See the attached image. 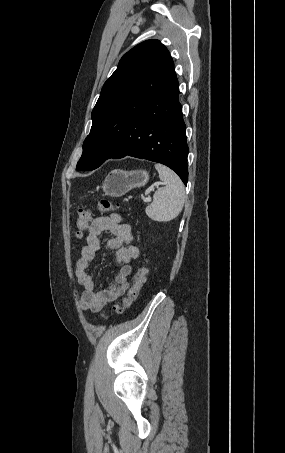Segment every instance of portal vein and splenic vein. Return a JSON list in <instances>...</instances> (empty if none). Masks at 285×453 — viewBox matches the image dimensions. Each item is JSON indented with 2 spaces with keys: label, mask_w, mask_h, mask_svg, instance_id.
Segmentation results:
<instances>
[{
  "label": "portal vein and splenic vein",
  "mask_w": 285,
  "mask_h": 453,
  "mask_svg": "<svg viewBox=\"0 0 285 453\" xmlns=\"http://www.w3.org/2000/svg\"><path fill=\"white\" fill-rule=\"evenodd\" d=\"M158 185H159V183H158V184H155L154 186L158 187ZM154 186H151L149 189H147L145 194H148V193H150L151 191H153V190H154ZM142 200H143L144 202H150V201H151L150 198H147V197H145V196H142Z\"/></svg>",
  "instance_id": "18ae733b"
}]
</instances>
